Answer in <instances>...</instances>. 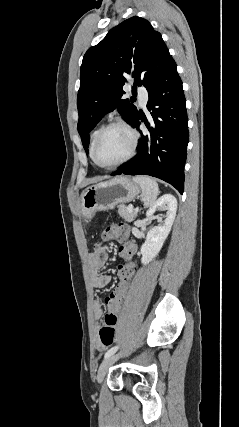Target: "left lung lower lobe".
I'll return each instance as SVG.
<instances>
[{"label":"left lung lower lobe","mask_w":239,"mask_h":427,"mask_svg":"<svg viewBox=\"0 0 239 427\" xmlns=\"http://www.w3.org/2000/svg\"><path fill=\"white\" fill-rule=\"evenodd\" d=\"M147 91L151 117L147 120L139 112L131 126L138 128L143 121L149 132L141 133L136 156L112 175H150L182 194L189 132L186 100L175 61L147 86Z\"/></svg>","instance_id":"0a47b994"}]
</instances>
